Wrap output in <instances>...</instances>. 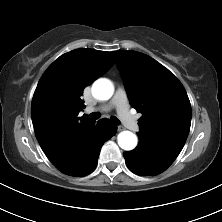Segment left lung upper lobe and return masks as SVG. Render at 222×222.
<instances>
[{"label": "left lung upper lobe", "instance_id": "1", "mask_svg": "<svg viewBox=\"0 0 222 222\" xmlns=\"http://www.w3.org/2000/svg\"><path fill=\"white\" fill-rule=\"evenodd\" d=\"M130 104L142 116L139 141L176 159L187 139L191 105L181 82L164 66L137 51H113Z\"/></svg>", "mask_w": 222, "mask_h": 222}]
</instances>
